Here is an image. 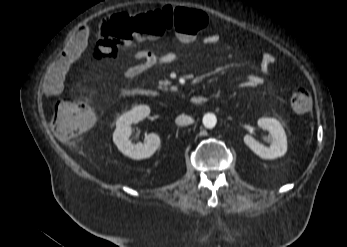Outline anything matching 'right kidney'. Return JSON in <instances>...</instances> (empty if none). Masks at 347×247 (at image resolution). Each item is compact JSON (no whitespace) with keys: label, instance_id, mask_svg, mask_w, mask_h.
I'll list each match as a JSON object with an SVG mask.
<instances>
[{"label":"right kidney","instance_id":"ca27d5eb","mask_svg":"<svg viewBox=\"0 0 347 247\" xmlns=\"http://www.w3.org/2000/svg\"><path fill=\"white\" fill-rule=\"evenodd\" d=\"M149 114L150 108L147 105H140L124 113L116 121L113 142L124 155L132 159L149 158L160 146V138L154 133L147 135L144 143L133 144L129 138L131 125L146 118Z\"/></svg>","mask_w":347,"mask_h":247}]
</instances>
